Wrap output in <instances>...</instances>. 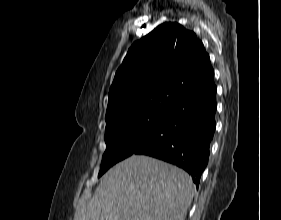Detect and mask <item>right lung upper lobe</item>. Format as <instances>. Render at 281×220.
Segmentation results:
<instances>
[{"instance_id":"1","label":"right lung upper lobe","mask_w":281,"mask_h":220,"mask_svg":"<svg viewBox=\"0 0 281 220\" xmlns=\"http://www.w3.org/2000/svg\"><path fill=\"white\" fill-rule=\"evenodd\" d=\"M214 85L203 43L178 23H163L128 50L109 90L106 125L127 115L169 112Z\"/></svg>"}]
</instances>
